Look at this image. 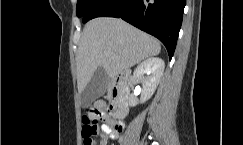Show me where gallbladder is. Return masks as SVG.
Instances as JSON below:
<instances>
[{"label": "gallbladder", "mask_w": 243, "mask_h": 145, "mask_svg": "<svg viewBox=\"0 0 243 145\" xmlns=\"http://www.w3.org/2000/svg\"><path fill=\"white\" fill-rule=\"evenodd\" d=\"M108 81L109 76L105 69L102 66L98 67L89 83L81 92V105L88 107L94 100L101 97L107 89Z\"/></svg>", "instance_id": "bac80fb5"}]
</instances>
